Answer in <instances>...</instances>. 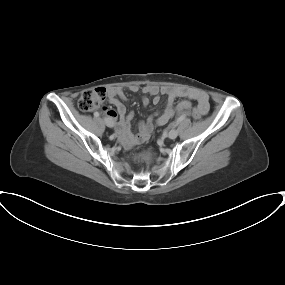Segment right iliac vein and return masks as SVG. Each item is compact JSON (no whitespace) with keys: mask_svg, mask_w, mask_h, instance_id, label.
Masks as SVG:
<instances>
[{"mask_svg":"<svg viewBox=\"0 0 285 285\" xmlns=\"http://www.w3.org/2000/svg\"><path fill=\"white\" fill-rule=\"evenodd\" d=\"M105 124L110 128H112L114 126L113 120H111L109 118L105 119Z\"/></svg>","mask_w":285,"mask_h":285,"instance_id":"63e3f726","label":"right iliac vein"}]
</instances>
